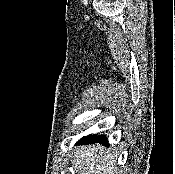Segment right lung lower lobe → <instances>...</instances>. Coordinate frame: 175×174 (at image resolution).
I'll list each match as a JSON object with an SVG mask.
<instances>
[{
  "mask_svg": "<svg viewBox=\"0 0 175 174\" xmlns=\"http://www.w3.org/2000/svg\"><path fill=\"white\" fill-rule=\"evenodd\" d=\"M81 142H83L84 144H87V143H105V144H108L107 142V138L105 135H88L86 137H83L81 138L80 140Z\"/></svg>",
  "mask_w": 175,
  "mask_h": 174,
  "instance_id": "obj_1",
  "label": "right lung lower lobe"
}]
</instances>
